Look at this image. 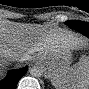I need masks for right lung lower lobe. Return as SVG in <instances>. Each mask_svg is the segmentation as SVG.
Segmentation results:
<instances>
[{
	"mask_svg": "<svg viewBox=\"0 0 89 89\" xmlns=\"http://www.w3.org/2000/svg\"><path fill=\"white\" fill-rule=\"evenodd\" d=\"M27 69H28L27 67H24V68L9 71L6 78L1 81V85L5 89H15L19 79L23 75H25Z\"/></svg>",
	"mask_w": 89,
	"mask_h": 89,
	"instance_id": "obj_1",
	"label": "right lung lower lobe"
}]
</instances>
